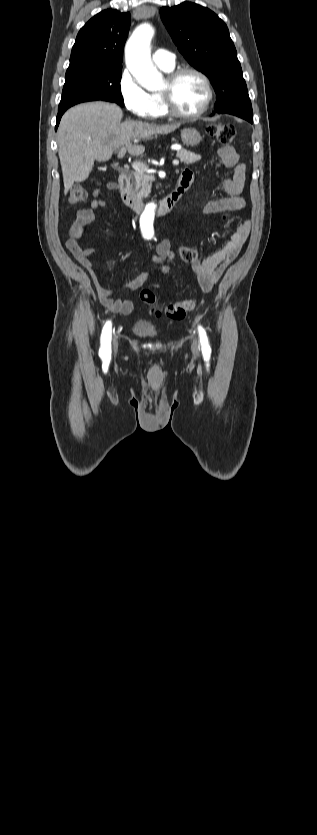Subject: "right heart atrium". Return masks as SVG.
Listing matches in <instances>:
<instances>
[{
    "mask_svg": "<svg viewBox=\"0 0 317 835\" xmlns=\"http://www.w3.org/2000/svg\"><path fill=\"white\" fill-rule=\"evenodd\" d=\"M118 89L125 107L132 114L143 119L155 117V106L151 95L141 87L126 68L119 76Z\"/></svg>",
    "mask_w": 317,
    "mask_h": 835,
    "instance_id": "obj_1",
    "label": "right heart atrium"
}]
</instances>
